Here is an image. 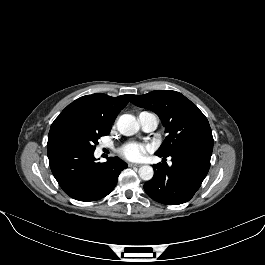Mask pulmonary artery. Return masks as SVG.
I'll return each instance as SVG.
<instances>
[{
  "label": "pulmonary artery",
  "instance_id": "e3ab8cb5",
  "mask_svg": "<svg viewBox=\"0 0 265 265\" xmlns=\"http://www.w3.org/2000/svg\"><path fill=\"white\" fill-rule=\"evenodd\" d=\"M138 121L144 132H152L156 129L158 120L157 117L149 112H142L138 115Z\"/></svg>",
  "mask_w": 265,
  "mask_h": 265
}]
</instances>
